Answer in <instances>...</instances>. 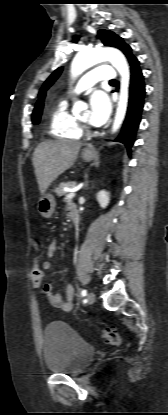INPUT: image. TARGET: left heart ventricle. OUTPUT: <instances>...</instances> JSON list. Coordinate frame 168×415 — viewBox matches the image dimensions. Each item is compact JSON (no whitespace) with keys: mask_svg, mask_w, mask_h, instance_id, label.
I'll return each instance as SVG.
<instances>
[{"mask_svg":"<svg viewBox=\"0 0 168 415\" xmlns=\"http://www.w3.org/2000/svg\"><path fill=\"white\" fill-rule=\"evenodd\" d=\"M79 118L80 119H82V120H84V121H89V111L88 110H85L84 112H82L80 115H79Z\"/></svg>","mask_w":168,"mask_h":415,"instance_id":"1","label":"left heart ventricle"}]
</instances>
